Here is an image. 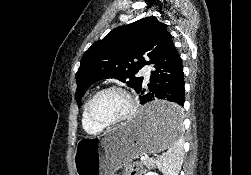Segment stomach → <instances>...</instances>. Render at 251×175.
Here are the masks:
<instances>
[{
	"mask_svg": "<svg viewBox=\"0 0 251 175\" xmlns=\"http://www.w3.org/2000/svg\"><path fill=\"white\" fill-rule=\"evenodd\" d=\"M171 100H148V105L139 109L136 117L124 125L114 127L104 135L81 137L73 153L76 175H114L138 155L156 154L170 148L177 136L182 134V124L177 123L178 106Z\"/></svg>",
	"mask_w": 251,
	"mask_h": 175,
	"instance_id": "0dacf381",
	"label": "stomach"
}]
</instances>
